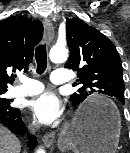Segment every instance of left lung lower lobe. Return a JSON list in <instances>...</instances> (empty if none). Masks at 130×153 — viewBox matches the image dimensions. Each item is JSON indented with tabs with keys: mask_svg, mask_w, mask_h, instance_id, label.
<instances>
[{
	"mask_svg": "<svg viewBox=\"0 0 130 153\" xmlns=\"http://www.w3.org/2000/svg\"><path fill=\"white\" fill-rule=\"evenodd\" d=\"M122 104H124V103H122ZM97 113H98V109H96V108H86L82 112V117L84 119H89V118L95 116Z\"/></svg>",
	"mask_w": 130,
	"mask_h": 153,
	"instance_id": "1",
	"label": "left lung lower lobe"
}]
</instances>
